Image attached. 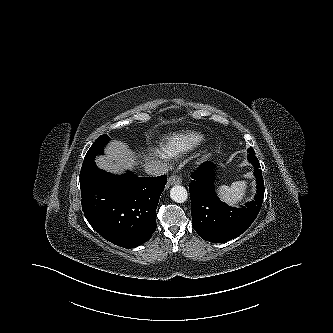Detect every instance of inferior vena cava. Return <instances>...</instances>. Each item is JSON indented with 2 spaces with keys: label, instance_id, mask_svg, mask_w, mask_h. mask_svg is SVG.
<instances>
[{
  "label": "inferior vena cava",
  "instance_id": "1",
  "mask_svg": "<svg viewBox=\"0 0 333 333\" xmlns=\"http://www.w3.org/2000/svg\"><path fill=\"white\" fill-rule=\"evenodd\" d=\"M145 172L152 176H159L167 174L168 167L167 164L161 161H150L145 165Z\"/></svg>",
  "mask_w": 333,
  "mask_h": 333
}]
</instances>
